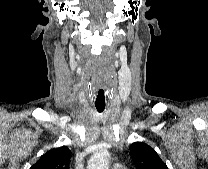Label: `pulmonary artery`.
Returning <instances> with one entry per match:
<instances>
[{
  "mask_svg": "<svg viewBox=\"0 0 208 169\" xmlns=\"http://www.w3.org/2000/svg\"><path fill=\"white\" fill-rule=\"evenodd\" d=\"M112 169H126V166L123 164H115L112 166Z\"/></svg>",
  "mask_w": 208,
  "mask_h": 169,
  "instance_id": "obj_1",
  "label": "pulmonary artery"
}]
</instances>
